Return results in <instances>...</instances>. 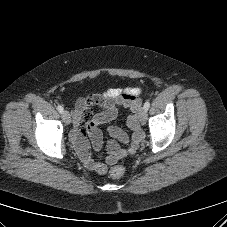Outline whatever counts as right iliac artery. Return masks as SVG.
I'll return each mask as SVG.
<instances>
[{
  "label": "right iliac artery",
  "instance_id": "obj_1",
  "mask_svg": "<svg viewBox=\"0 0 227 227\" xmlns=\"http://www.w3.org/2000/svg\"><path fill=\"white\" fill-rule=\"evenodd\" d=\"M57 109L60 113H63V107L61 105H58Z\"/></svg>",
  "mask_w": 227,
  "mask_h": 227
}]
</instances>
